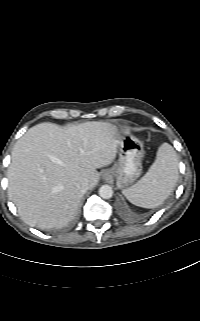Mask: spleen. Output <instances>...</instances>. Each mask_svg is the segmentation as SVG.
<instances>
[{
	"mask_svg": "<svg viewBox=\"0 0 200 321\" xmlns=\"http://www.w3.org/2000/svg\"><path fill=\"white\" fill-rule=\"evenodd\" d=\"M178 179L177 153L170 144L163 143L146 174L122 193L136 206L155 208L169 197Z\"/></svg>",
	"mask_w": 200,
	"mask_h": 321,
	"instance_id": "spleen-1",
	"label": "spleen"
}]
</instances>
